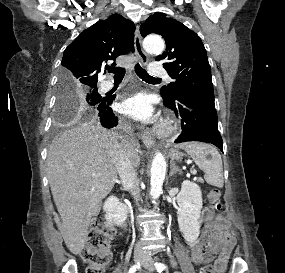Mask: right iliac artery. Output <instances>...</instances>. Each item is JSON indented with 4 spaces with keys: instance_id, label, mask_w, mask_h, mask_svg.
Returning <instances> with one entry per match:
<instances>
[{
    "instance_id": "obj_1",
    "label": "right iliac artery",
    "mask_w": 285,
    "mask_h": 273,
    "mask_svg": "<svg viewBox=\"0 0 285 273\" xmlns=\"http://www.w3.org/2000/svg\"><path fill=\"white\" fill-rule=\"evenodd\" d=\"M140 268V263H137L135 265H133L130 269L128 273H135L137 269Z\"/></svg>"
}]
</instances>
